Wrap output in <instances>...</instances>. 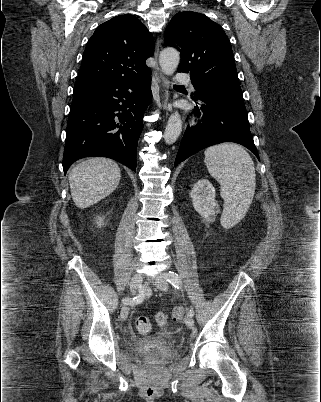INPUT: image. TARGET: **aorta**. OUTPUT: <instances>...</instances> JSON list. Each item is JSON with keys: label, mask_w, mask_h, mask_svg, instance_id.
I'll list each match as a JSON object with an SVG mask.
<instances>
[{"label": "aorta", "mask_w": 321, "mask_h": 402, "mask_svg": "<svg viewBox=\"0 0 321 402\" xmlns=\"http://www.w3.org/2000/svg\"><path fill=\"white\" fill-rule=\"evenodd\" d=\"M180 61V54L175 48H165L161 51L159 55V63L161 70L164 74L170 76L172 75ZM182 131V121L180 115L175 112L173 113L168 120L166 125V129L164 132V139L167 144H173L178 137L180 136Z\"/></svg>", "instance_id": "aorta-1"}]
</instances>
